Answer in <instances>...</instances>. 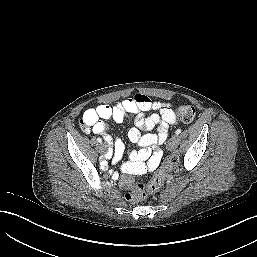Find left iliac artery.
<instances>
[{
    "label": "left iliac artery",
    "mask_w": 257,
    "mask_h": 257,
    "mask_svg": "<svg viewBox=\"0 0 257 257\" xmlns=\"http://www.w3.org/2000/svg\"><path fill=\"white\" fill-rule=\"evenodd\" d=\"M181 131H182L181 129H177L175 133H176L177 135H179V134L181 133Z\"/></svg>",
    "instance_id": "1"
}]
</instances>
